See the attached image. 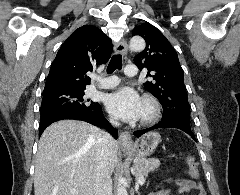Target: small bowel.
<instances>
[{"instance_id": "c3829d8e", "label": "small bowel", "mask_w": 240, "mask_h": 195, "mask_svg": "<svg viewBox=\"0 0 240 195\" xmlns=\"http://www.w3.org/2000/svg\"><path fill=\"white\" fill-rule=\"evenodd\" d=\"M170 186H177V192L180 194L207 195L203 186H198L197 182L185 178L166 180L152 195H172L173 189Z\"/></svg>"}]
</instances>
